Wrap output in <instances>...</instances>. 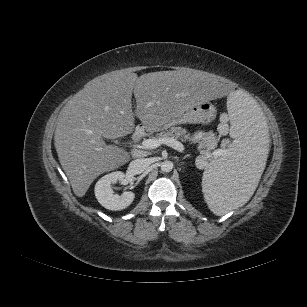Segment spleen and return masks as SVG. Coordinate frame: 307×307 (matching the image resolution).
Masks as SVG:
<instances>
[{"label":"spleen","instance_id":"3e777b00","mask_svg":"<svg viewBox=\"0 0 307 307\" xmlns=\"http://www.w3.org/2000/svg\"><path fill=\"white\" fill-rule=\"evenodd\" d=\"M227 105L235 140L223 157L208 165L202 177L205 201L219 216L250 199L270 151V134L257 103L244 92L234 91Z\"/></svg>","mask_w":307,"mask_h":307}]
</instances>
